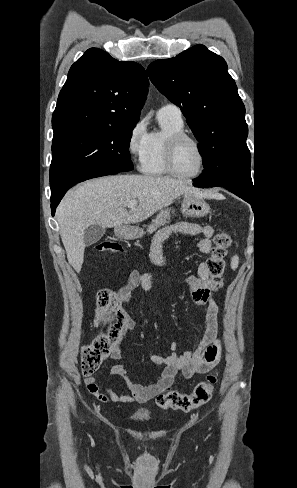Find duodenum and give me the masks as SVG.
<instances>
[{
	"instance_id": "410a0bca",
	"label": "duodenum",
	"mask_w": 297,
	"mask_h": 488,
	"mask_svg": "<svg viewBox=\"0 0 297 488\" xmlns=\"http://www.w3.org/2000/svg\"><path fill=\"white\" fill-rule=\"evenodd\" d=\"M120 234H121V236H123V237H124V236H125V230H121V231H120Z\"/></svg>"
}]
</instances>
